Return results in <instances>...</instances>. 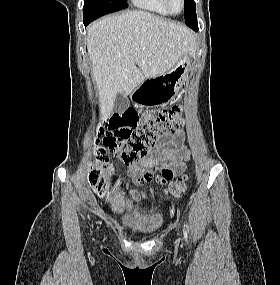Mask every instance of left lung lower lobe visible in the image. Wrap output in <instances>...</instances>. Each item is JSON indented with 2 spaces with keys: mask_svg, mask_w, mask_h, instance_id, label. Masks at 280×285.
Wrapping results in <instances>:
<instances>
[{
  "mask_svg": "<svg viewBox=\"0 0 280 285\" xmlns=\"http://www.w3.org/2000/svg\"><path fill=\"white\" fill-rule=\"evenodd\" d=\"M192 29H194L195 31L198 30V27H195V26H191Z\"/></svg>",
  "mask_w": 280,
  "mask_h": 285,
  "instance_id": "0a47b994",
  "label": "left lung lower lobe"
}]
</instances>
